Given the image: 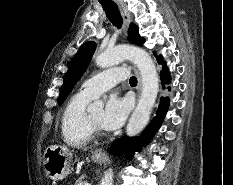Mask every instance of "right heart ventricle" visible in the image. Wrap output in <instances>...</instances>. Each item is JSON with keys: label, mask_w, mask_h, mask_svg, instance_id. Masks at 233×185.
<instances>
[{"label": "right heart ventricle", "mask_w": 233, "mask_h": 185, "mask_svg": "<svg viewBox=\"0 0 233 185\" xmlns=\"http://www.w3.org/2000/svg\"><path fill=\"white\" fill-rule=\"evenodd\" d=\"M90 97L78 92L66 104L61 116V133L64 142L71 147H82L92 139L87 122L86 106Z\"/></svg>", "instance_id": "right-heart-ventricle-1"}]
</instances>
